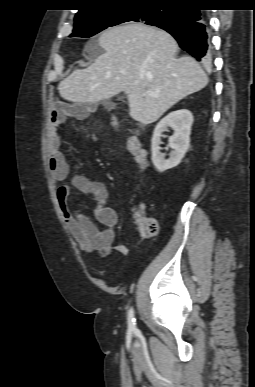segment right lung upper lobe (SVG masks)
Listing matches in <instances>:
<instances>
[{
	"label": "right lung upper lobe",
	"instance_id": "right-lung-upper-lobe-1",
	"mask_svg": "<svg viewBox=\"0 0 255 387\" xmlns=\"http://www.w3.org/2000/svg\"><path fill=\"white\" fill-rule=\"evenodd\" d=\"M197 2L198 0H81L82 8L76 14L75 20L116 7L136 5L181 7Z\"/></svg>",
	"mask_w": 255,
	"mask_h": 387
}]
</instances>
